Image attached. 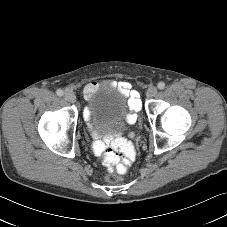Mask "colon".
<instances>
[{
  "mask_svg": "<svg viewBox=\"0 0 227 227\" xmlns=\"http://www.w3.org/2000/svg\"><path fill=\"white\" fill-rule=\"evenodd\" d=\"M121 155H123V153L121 154L117 150L108 149L105 152V156H104L105 163L108 166L115 165L118 162H120ZM125 170H126V166H122L121 169L117 168V170H114L112 167H110L105 176L106 181L111 184L121 181L122 179L121 175L125 172Z\"/></svg>",
  "mask_w": 227,
  "mask_h": 227,
  "instance_id": "1",
  "label": "colon"
}]
</instances>
